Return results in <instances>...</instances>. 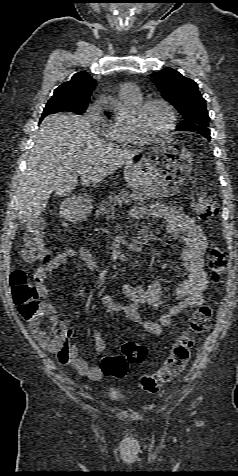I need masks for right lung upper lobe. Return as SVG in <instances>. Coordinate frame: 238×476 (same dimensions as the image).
<instances>
[{
	"mask_svg": "<svg viewBox=\"0 0 238 476\" xmlns=\"http://www.w3.org/2000/svg\"><path fill=\"white\" fill-rule=\"evenodd\" d=\"M95 87L96 81L87 72L81 71L56 88L53 96H66L74 104L87 105Z\"/></svg>",
	"mask_w": 238,
	"mask_h": 476,
	"instance_id": "right-lung-upper-lobe-1",
	"label": "right lung upper lobe"
}]
</instances>
